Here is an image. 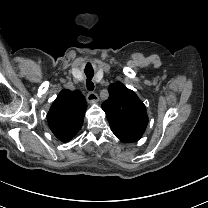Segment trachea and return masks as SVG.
<instances>
[{
	"label": "trachea",
	"mask_w": 208,
	"mask_h": 208,
	"mask_svg": "<svg viewBox=\"0 0 208 208\" xmlns=\"http://www.w3.org/2000/svg\"><path fill=\"white\" fill-rule=\"evenodd\" d=\"M85 75L87 77V80H86V86H87V89L89 91H93L94 90V83L91 81L93 76H94V70L93 68L91 69H85Z\"/></svg>",
	"instance_id": "3493384b"
}]
</instances>
